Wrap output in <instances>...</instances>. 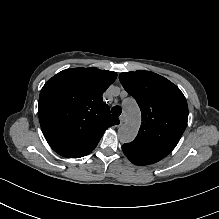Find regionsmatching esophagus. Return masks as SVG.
<instances>
[{
    "mask_svg": "<svg viewBox=\"0 0 219 219\" xmlns=\"http://www.w3.org/2000/svg\"><path fill=\"white\" fill-rule=\"evenodd\" d=\"M119 121H120V124H123L125 122V115L124 114L120 115Z\"/></svg>",
    "mask_w": 219,
    "mask_h": 219,
    "instance_id": "34e87169",
    "label": "esophagus"
}]
</instances>
